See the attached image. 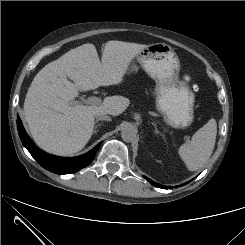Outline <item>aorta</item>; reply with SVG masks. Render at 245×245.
Segmentation results:
<instances>
[{
    "label": "aorta",
    "mask_w": 245,
    "mask_h": 245,
    "mask_svg": "<svg viewBox=\"0 0 245 245\" xmlns=\"http://www.w3.org/2000/svg\"><path fill=\"white\" fill-rule=\"evenodd\" d=\"M137 132L133 127L126 126L121 131V137L125 142H132L136 139Z\"/></svg>",
    "instance_id": "aorta-1"
}]
</instances>
